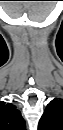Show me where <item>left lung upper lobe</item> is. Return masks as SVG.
<instances>
[{
	"label": "left lung upper lobe",
	"mask_w": 63,
	"mask_h": 130,
	"mask_svg": "<svg viewBox=\"0 0 63 130\" xmlns=\"http://www.w3.org/2000/svg\"><path fill=\"white\" fill-rule=\"evenodd\" d=\"M39 130H63V100L51 101L39 121Z\"/></svg>",
	"instance_id": "obj_1"
}]
</instances>
